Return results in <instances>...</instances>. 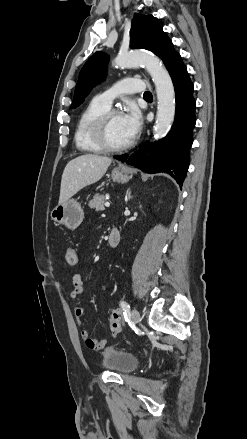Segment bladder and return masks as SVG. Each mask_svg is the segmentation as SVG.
I'll use <instances>...</instances> for the list:
<instances>
[{"mask_svg": "<svg viewBox=\"0 0 247 439\" xmlns=\"http://www.w3.org/2000/svg\"><path fill=\"white\" fill-rule=\"evenodd\" d=\"M102 365L118 374H129L138 366V359L132 353L109 347L102 354Z\"/></svg>", "mask_w": 247, "mask_h": 439, "instance_id": "31cf9c89", "label": "bladder"}]
</instances>
